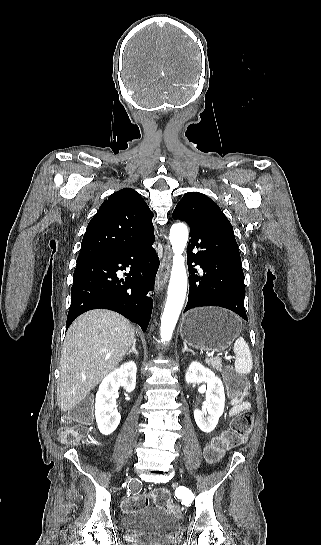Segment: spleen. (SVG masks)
I'll return each mask as SVG.
<instances>
[{"instance_id":"obj_1","label":"spleen","mask_w":321,"mask_h":545,"mask_svg":"<svg viewBox=\"0 0 321 545\" xmlns=\"http://www.w3.org/2000/svg\"><path fill=\"white\" fill-rule=\"evenodd\" d=\"M233 351L236 357L234 363L236 373H239V375H248V373H251L253 365L252 355L243 337H239V339L235 341Z\"/></svg>"}]
</instances>
